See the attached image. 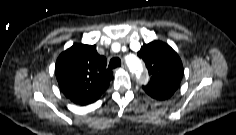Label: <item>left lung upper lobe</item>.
<instances>
[{
  "label": "left lung upper lobe",
  "mask_w": 236,
  "mask_h": 135,
  "mask_svg": "<svg viewBox=\"0 0 236 135\" xmlns=\"http://www.w3.org/2000/svg\"><path fill=\"white\" fill-rule=\"evenodd\" d=\"M138 56L145 61L149 75L145 92L153 98L171 96L183 77V65L178 54L166 43L153 41L144 44Z\"/></svg>",
  "instance_id": "left-lung-upper-lobe-1"
}]
</instances>
